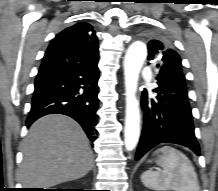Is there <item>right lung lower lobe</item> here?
I'll return each mask as SVG.
<instances>
[{"label": "right lung lower lobe", "mask_w": 218, "mask_h": 191, "mask_svg": "<svg viewBox=\"0 0 218 191\" xmlns=\"http://www.w3.org/2000/svg\"><path fill=\"white\" fill-rule=\"evenodd\" d=\"M98 45L81 46L53 39L35 79L27 127L47 114L74 118L91 141L96 139Z\"/></svg>", "instance_id": "98d812e1"}]
</instances>
